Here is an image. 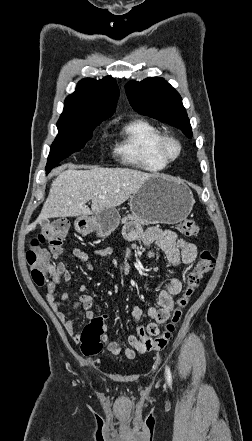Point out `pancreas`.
Masks as SVG:
<instances>
[{
	"label": "pancreas",
	"instance_id": "pancreas-1",
	"mask_svg": "<svg viewBox=\"0 0 252 441\" xmlns=\"http://www.w3.org/2000/svg\"><path fill=\"white\" fill-rule=\"evenodd\" d=\"M123 220H124V221H126V220H134V221L139 222V223H141V224H147V222H146L145 220L141 219L140 217H138V216L135 215V214H132V215L129 214V215L126 216Z\"/></svg>",
	"mask_w": 252,
	"mask_h": 441
}]
</instances>
